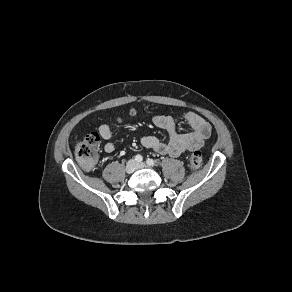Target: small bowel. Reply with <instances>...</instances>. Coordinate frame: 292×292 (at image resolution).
I'll return each mask as SVG.
<instances>
[{"instance_id": "c3829d8e", "label": "small bowel", "mask_w": 292, "mask_h": 292, "mask_svg": "<svg viewBox=\"0 0 292 292\" xmlns=\"http://www.w3.org/2000/svg\"><path fill=\"white\" fill-rule=\"evenodd\" d=\"M183 119L191 127V132L179 133L177 123L174 118L164 114L154 115L153 124L169 134V141L163 142L155 136L141 137V144L148 149L162 155L178 157L188 151L201 148L204 142L211 135V125L204 118L194 112H188ZM100 136L106 140L104 150L112 153L115 150V143L112 139V132L108 125L103 124L99 127Z\"/></svg>"}]
</instances>
